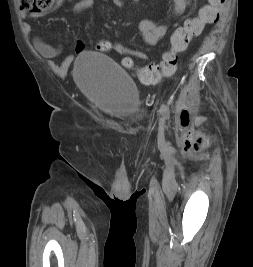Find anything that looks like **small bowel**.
Masks as SVG:
<instances>
[{"instance_id": "1", "label": "small bowel", "mask_w": 253, "mask_h": 267, "mask_svg": "<svg viewBox=\"0 0 253 267\" xmlns=\"http://www.w3.org/2000/svg\"><path fill=\"white\" fill-rule=\"evenodd\" d=\"M63 0H58V4ZM72 1V0H69ZM105 2H112L117 6H123V0H104ZM95 3V0H79L73 6L74 13H81L89 8H91ZM172 11L171 14L173 16L182 15L186 10L190 8L191 2L190 0H172ZM32 16H37L34 14ZM140 31L143 35L144 41L150 45L155 46L160 39H162L166 33L168 32L169 26L163 23H156L149 18H144L140 21L139 24ZM24 30L27 34L31 31V26L29 24H24ZM34 46L37 51L44 56L47 60L52 61L60 56L61 47L53 46L46 43L42 38L35 37L34 38ZM76 53H80L84 50V45L82 42H78L76 44ZM74 59L73 55H68L61 64V70H67L70 64Z\"/></svg>"}]
</instances>
